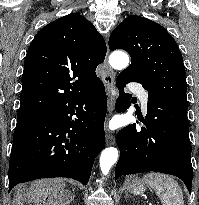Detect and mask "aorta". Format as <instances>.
<instances>
[{
  "label": "aorta",
  "instance_id": "1",
  "mask_svg": "<svg viewBox=\"0 0 199 205\" xmlns=\"http://www.w3.org/2000/svg\"><path fill=\"white\" fill-rule=\"evenodd\" d=\"M109 64L115 69L126 68L129 64V57L123 51H115L109 57ZM118 159V150L114 147L106 148L100 156V169L104 175H107L111 167Z\"/></svg>",
  "mask_w": 199,
  "mask_h": 205
}]
</instances>
